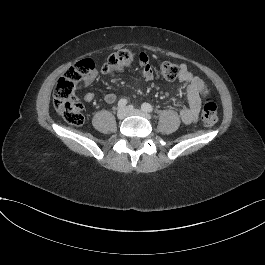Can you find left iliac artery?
Instances as JSON below:
<instances>
[{
    "instance_id": "1",
    "label": "left iliac artery",
    "mask_w": 265,
    "mask_h": 265,
    "mask_svg": "<svg viewBox=\"0 0 265 265\" xmlns=\"http://www.w3.org/2000/svg\"><path fill=\"white\" fill-rule=\"evenodd\" d=\"M141 109L146 112H153V107L149 103H143Z\"/></svg>"
}]
</instances>
